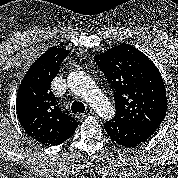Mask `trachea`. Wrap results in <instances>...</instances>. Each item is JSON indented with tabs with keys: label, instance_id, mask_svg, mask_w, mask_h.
Instances as JSON below:
<instances>
[{
	"label": "trachea",
	"instance_id": "1",
	"mask_svg": "<svg viewBox=\"0 0 178 178\" xmlns=\"http://www.w3.org/2000/svg\"><path fill=\"white\" fill-rule=\"evenodd\" d=\"M72 113H84L85 106L82 102L74 101L71 105Z\"/></svg>",
	"mask_w": 178,
	"mask_h": 178
}]
</instances>
